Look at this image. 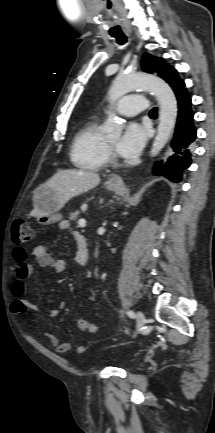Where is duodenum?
<instances>
[{"mask_svg":"<svg viewBox=\"0 0 215 433\" xmlns=\"http://www.w3.org/2000/svg\"><path fill=\"white\" fill-rule=\"evenodd\" d=\"M88 260H89V252L86 249L85 242H83L79 248L78 263L82 266H86L88 264Z\"/></svg>","mask_w":215,"mask_h":433,"instance_id":"duodenum-1","label":"duodenum"}]
</instances>
